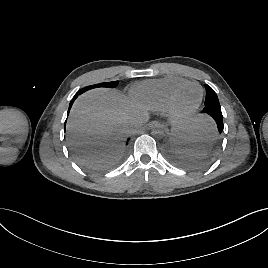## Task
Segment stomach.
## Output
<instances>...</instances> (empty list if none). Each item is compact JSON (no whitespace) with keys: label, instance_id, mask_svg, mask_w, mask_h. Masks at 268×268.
<instances>
[{"label":"stomach","instance_id":"1","mask_svg":"<svg viewBox=\"0 0 268 268\" xmlns=\"http://www.w3.org/2000/svg\"><path fill=\"white\" fill-rule=\"evenodd\" d=\"M189 132L188 136H184V131ZM192 128L189 125L185 126H176L172 130V137L173 139L177 140L178 136L181 135L178 144L179 147H188V141L190 140V135H191ZM189 148V147H188Z\"/></svg>","mask_w":268,"mask_h":268}]
</instances>
